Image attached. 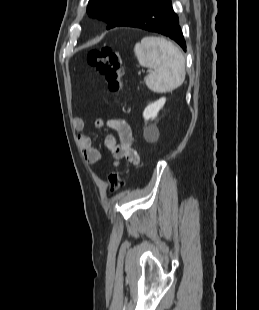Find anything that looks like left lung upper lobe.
Listing matches in <instances>:
<instances>
[{
    "instance_id": "obj_1",
    "label": "left lung upper lobe",
    "mask_w": 259,
    "mask_h": 310,
    "mask_svg": "<svg viewBox=\"0 0 259 310\" xmlns=\"http://www.w3.org/2000/svg\"><path fill=\"white\" fill-rule=\"evenodd\" d=\"M149 0H89L87 14L107 22V29L113 28L131 9Z\"/></svg>"
}]
</instances>
